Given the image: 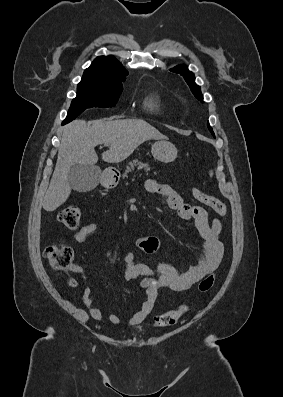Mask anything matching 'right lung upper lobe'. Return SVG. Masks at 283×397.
<instances>
[{"label": "right lung upper lobe", "mask_w": 283, "mask_h": 397, "mask_svg": "<svg viewBox=\"0 0 283 397\" xmlns=\"http://www.w3.org/2000/svg\"><path fill=\"white\" fill-rule=\"evenodd\" d=\"M127 70L113 56H99L84 71L83 79L124 81Z\"/></svg>", "instance_id": "1"}]
</instances>
